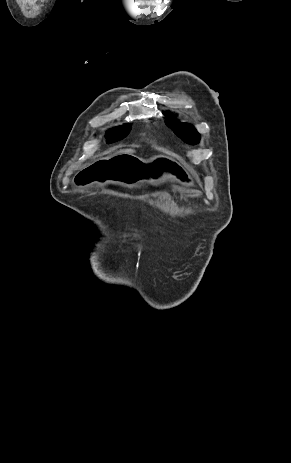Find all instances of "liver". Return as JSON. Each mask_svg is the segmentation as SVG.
<instances>
[{"label":"liver","mask_w":291,"mask_h":463,"mask_svg":"<svg viewBox=\"0 0 291 463\" xmlns=\"http://www.w3.org/2000/svg\"><path fill=\"white\" fill-rule=\"evenodd\" d=\"M134 150L133 149H123V150H120L118 152L115 153V155H119V154H131L133 153Z\"/></svg>","instance_id":"obj_1"}]
</instances>
